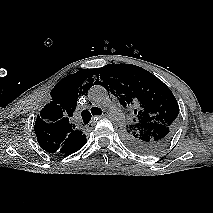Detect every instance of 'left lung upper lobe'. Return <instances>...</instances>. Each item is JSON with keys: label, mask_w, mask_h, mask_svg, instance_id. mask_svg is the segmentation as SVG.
<instances>
[{"label": "left lung upper lobe", "mask_w": 213, "mask_h": 213, "mask_svg": "<svg viewBox=\"0 0 213 213\" xmlns=\"http://www.w3.org/2000/svg\"><path fill=\"white\" fill-rule=\"evenodd\" d=\"M98 80L119 98L131 105L134 117L122 129L125 143L133 150L150 154L162 150L177 128L178 103L172 91L149 71L132 64H108L96 70Z\"/></svg>", "instance_id": "1"}]
</instances>
